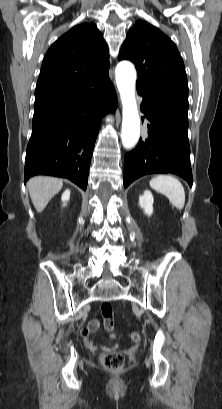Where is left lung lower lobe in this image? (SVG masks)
Here are the masks:
<instances>
[{
  "mask_svg": "<svg viewBox=\"0 0 222 409\" xmlns=\"http://www.w3.org/2000/svg\"><path fill=\"white\" fill-rule=\"evenodd\" d=\"M148 124V138L124 158V186L153 173H173L192 186L190 146L188 142V103L184 100L161 101L143 97ZM144 117H142V122Z\"/></svg>",
  "mask_w": 222,
  "mask_h": 409,
  "instance_id": "obj_1",
  "label": "left lung lower lobe"
}]
</instances>
